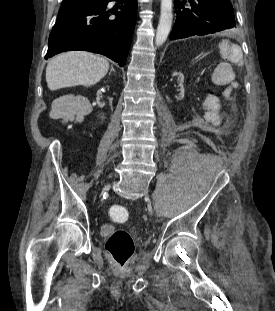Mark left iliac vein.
<instances>
[{
  "mask_svg": "<svg viewBox=\"0 0 275 311\" xmlns=\"http://www.w3.org/2000/svg\"><path fill=\"white\" fill-rule=\"evenodd\" d=\"M149 212L152 214V208L148 207Z\"/></svg>",
  "mask_w": 275,
  "mask_h": 311,
  "instance_id": "1",
  "label": "left iliac vein"
}]
</instances>
